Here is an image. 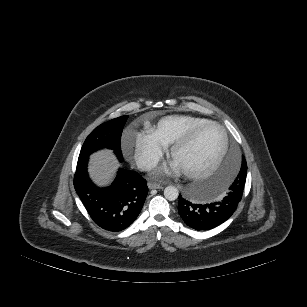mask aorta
Masks as SVG:
<instances>
[{
  "mask_svg": "<svg viewBox=\"0 0 307 307\" xmlns=\"http://www.w3.org/2000/svg\"><path fill=\"white\" fill-rule=\"evenodd\" d=\"M179 192L175 186H167L164 189V197L169 201H174L178 198Z\"/></svg>",
  "mask_w": 307,
  "mask_h": 307,
  "instance_id": "1",
  "label": "aorta"
}]
</instances>
